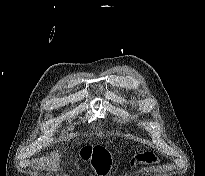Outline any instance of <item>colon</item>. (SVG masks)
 Instances as JSON below:
<instances>
[{"label": "colon", "instance_id": "colon-1", "mask_svg": "<svg viewBox=\"0 0 205 176\" xmlns=\"http://www.w3.org/2000/svg\"><path fill=\"white\" fill-rule=\"evenodd\" d=\"M84 161H90L91 166L95 168L102 176H105L110 169L111 160L108 152L100 147L90 148L82 156ZM158 163L156 156L150 151H144L136 154L132 159L133 166L151 165Z\"/></svg>", "mask_w": 205, "mask_h": 176}]
</instances>
